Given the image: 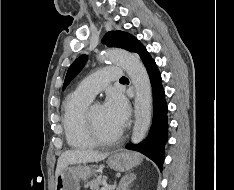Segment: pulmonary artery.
Returning <instances> with one entry per match:
<instances>
[{
	"label": "pulmonary artery",
	"mask_w": 234,
	"mask_h": 190,
	"mask_svg": "<svg viewBox=\"0 0 234 190\" xmlns=\"http://www.w3.org/2000/svg\"><path fill=\"white\" fill-rule=\"evenodd\" d=\"M122 67L103 66L98 71L82 80L77 86L76 92L93 98L107 84L121 79Z\"/></svg>",
	"instance_id": "1"
}]
</instances>
